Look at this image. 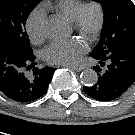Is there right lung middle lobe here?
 Instances as JSON below:
<instances>
[{
    "label": "right lung middle lobe",
    "instance_id": "right-lung-middle-lobe-1",
    "mask_svg": "<svg viewBox=\"0 0 135 135\" xmlns=\"http://www.w3.org/2000/svg\"><path fill=\"white\" fill-rule=\"evenodd\" d=\"M41 0H0V39L32 53L25 29L28 15Z\"/></svg>",
    "mask_w": 135,
    "mask_h": 135
}]
</instances>
